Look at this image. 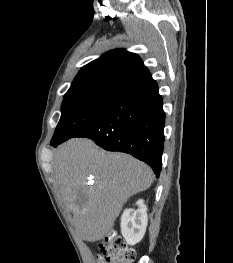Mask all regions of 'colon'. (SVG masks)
Returning a JSON list of instances; mask_svg holds the SVG:
<instances>
[{
    "label": "colon",
    "instance_id": "obj_1",
    "mask_svg": "<svg viewBox=\"0 0 233 263\" xmlns=\"http://www.w3.org/2000/svg\"><path fill=\"white\" fill-rule=\"evenodd\" d=\"M98 252V263H134L136 258L135 250L115 232L108 233L98 244Z\"/></svg>",
    "mask_w": 233,
    "mask_h": 263
}]
</instances>
